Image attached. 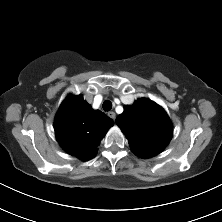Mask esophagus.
Masks as SVG:
<instances>
[{
    "label": "esophagus",
    "instance_id": "obj_1",
    "mask_svg": "<svg viewBox=\"0 0 222 222\" xmlns=\"http://www.w3.org/2000/svg\"><path fill=\"white\" fill-rule=\"evenodd\" d=\"M108 116L111 118V119H115V117H116V114H115V112H113V111H110V112H108Z\"/></svg>",
    "mask_w": 222,
    "mask_h": 222
}]
</instances>
